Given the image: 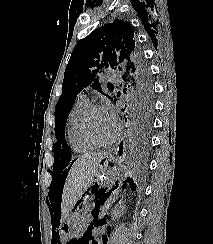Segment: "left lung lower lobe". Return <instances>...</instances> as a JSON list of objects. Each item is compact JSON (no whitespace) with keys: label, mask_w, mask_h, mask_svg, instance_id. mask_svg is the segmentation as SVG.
<instances>
[{"label":"left lung lower lobe","mask_w":213,"mask_h":244,"mask_svg":"<svg viewBox=\"0 0 213 244\" xmlns=\"http://www.w3.org/2000/svg\"><path fill=\"white\" fill-rule=\"evenodd\" d=\"M123 111H126V116L128 115V120H126L129 125L126 145L133 154L143 156L150 147L153 114L133 108H129V110L123 109ZM124 147L122 142L119 146V155H122ZM131 181L129 179V182Z\"/></svg>","instance_id":"obj_1"}]
</instances>
